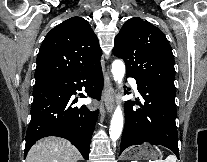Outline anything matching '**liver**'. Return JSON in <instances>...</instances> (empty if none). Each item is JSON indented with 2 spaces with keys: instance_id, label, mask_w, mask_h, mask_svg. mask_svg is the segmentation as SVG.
<instances>
[{
  "instance_id": "obj_1",
  "label": "liver",
  "mask_w": 207,
  "mask_h": 162,
  "mask_svg": "<svg viewBox=\"0 0 207 162\" xmlns=\"http://www.w3.org/2000/svg\"><path fill=\"white\" fill-rule=\"evenodd\" d=\"M81 160L79 151L66 139L45 137L37 141L29 150L26 162H77Z\"/></svg>"
}]
</instances>
